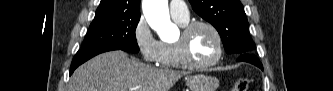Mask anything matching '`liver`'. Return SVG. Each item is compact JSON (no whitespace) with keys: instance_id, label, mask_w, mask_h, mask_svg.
I'll return each instance as SVG.
<instances>
[{"instance_id":"liver-1","label":"liver","mask_w":333,"mask_h":91,"mask_svg":"<svg viewBox=\"0 0 333 91\" xmlns=\"http://www.w3.org/2000/svg\"><path fill=\"white\" fill-rule=\"evenodd\" d=\"M184 75L154 68L123 51L100 54L75 70L69 91H169Z\"/></svg>"}]
</instances>
